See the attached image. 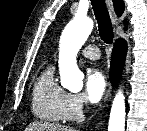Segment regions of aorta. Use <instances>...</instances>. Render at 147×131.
<instances>
[{
    "label": "aorta",
    "mask_w": 147,
    "mask_h": 131,
    "mask_svg": "<svg viewBox=\"0 0 147 131\" xmlns=\"http://www.w3.org/2000/svg\"><path fill=\"white\" fill-rule=\"evenodd\" d=\"M93 29V20L75 17L65 27L60 39L59 71L61 85L72 92L83 88L84 74L78 68L76 55ZM125 97L119 91L112 103L108 131L125 130Z\"/></svg>",
    "instance_id": "aorta-1"
}]
</instances>
